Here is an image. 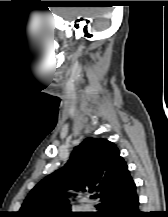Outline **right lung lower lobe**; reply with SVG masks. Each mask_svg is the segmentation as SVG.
<instances>
[{
	"label": "right lung lower lobe",
	"instance_id": "obj_1",
	"mask_svg": "<svg viewBox=\"0 0 168 217\" xmlns=\"http://www.w3.org/2000/svg\"><path fill=\"white\" fill-rule=\"evenodd\" d=\"M100 210L91 217H144V214L139 210L136 187L127 194L109 201Z\"/></svg>",
	"mask_w": 168,
	"mask_h": 217
}]
</instances>
